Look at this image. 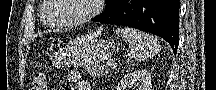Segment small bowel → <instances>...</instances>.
I'll return each mask as SVG.
<instances>
[{"label": "small bowel", "instance_id": "obj_1", "mask_svg": "<svg viewBox=\"0 0 216 90\" xmlns=\"http://www.w3.org/2000/svg\"><path fill=\"white\" fill-rule=\"evenodd\" d=\"M67 79L74 85L75 90H91L90 84L82 77L79 71H70Z\"/></svg>", "mask_w": 216, "mask_h": 90}]
</instances>
